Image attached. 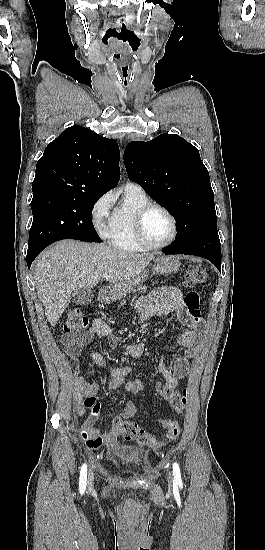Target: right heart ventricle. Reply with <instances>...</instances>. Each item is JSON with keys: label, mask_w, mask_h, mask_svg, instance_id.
<instances>
[{"label": "right heart ventricle", "mask_w": 265, "mask_h": 550, "mask_svg": "<svg viewBox=\"0 0 265 550\" xmlns=\"http://www.w3.org/2000/svg\"><path fill=\"white\" fill-rule=\"evenodd\" d=\"M150 203L145 192L125 188L121 203L112 212L105 238L115 249L122 252H138L143 247L134 234V218L136 212Z\"/></svg>", "instance_id": "obj_1"}]
</instances>
